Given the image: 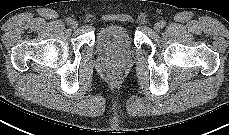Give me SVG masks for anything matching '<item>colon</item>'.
<instances>
[{"label":"colon","mask_w":229,"mask_h":135,"mask_svg":"<svg viewBox=\"0 0 229 135\" xmlns=\"http://www.w3.org/2000/svg\"><path fill=\"white\" fill-rule=\"evenodd\" d=\"M109 79L111 82H118L120 80V75L117 72H111L109 74Z\"/></svg>","instance_id":"obj_1"}]
</instances>
